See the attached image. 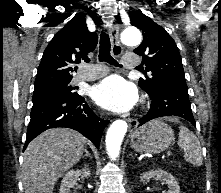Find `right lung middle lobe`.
<instances>
[{
    "label": "right lung middle lobe",
    "instance_id": "obj_1",
    "mask_svg": "<svg viewBox=\"0 0 221 193\" xmlns=\"http://www.w3.org/2000/svg\"><path fill=\"white\" fill-rule=\"evenodd\" d=\"M69 83L70 81L35 86L32 101L52 97L75 98L79 96Z\"/></svg>",
    "mask_w": 221,
    "mask_h": 193
}]
</instances>
